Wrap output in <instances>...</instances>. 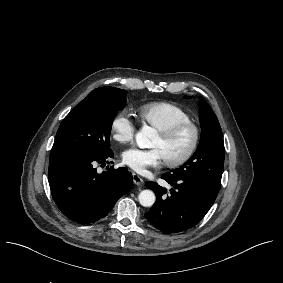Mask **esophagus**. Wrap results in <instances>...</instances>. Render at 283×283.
I'll list each match as a JSON object with an SVG mask.
<instances>
[{
	"mask_svg": "<svg viewBox=\"0 0 283 283\" xmlns=\"http://www.w3.org/2000/svg\"><path fill=\"white\" fill-rule=\"evenodd\" d=\"M132 176H133V183L135 185H138V186L143 185L144 181L138 174L132 173Z\"/></svg>",
	"mask_w": 283,
	"mask_h": 283,
	"instance_id": "esophagus-1",
	"label": "esophagus"
}]
</instances>
